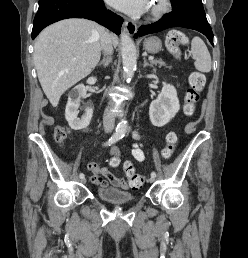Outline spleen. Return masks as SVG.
I'll return each instance as SVG.
<instances>
[{"label": "spleen", "instance_id": "1", "mask_svg": "<svg viewBox=\"0 0 248 258\" xmlns=\"http://www.w3.org/2000/svg\"><path fill=\"white\" fill-rule=\"evenodd\" d=\"M191 52L195 60V68L203 73H208L211 70V56L200 37H194L191 43Z\"/></svg>", "mask_w": 248, "mask_h": 258}]
</instances>
